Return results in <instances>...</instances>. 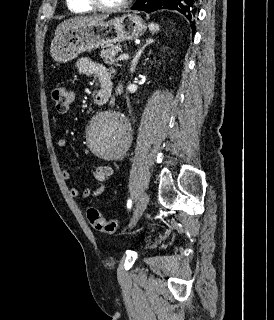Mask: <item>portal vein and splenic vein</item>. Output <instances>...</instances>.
I'll return each instance as SVG.
<instances>
[{
    "label": "portal vein and splenic vein",
    "mask_w": 274,
    "mask_h": 320,
    "mask_svg": "<svg viewBox=\"0 0 274 320\" xmlns=\"http://www.w3.org/2000/svg\"><path fill=\"white\" fill-rule=\"evenodd\" d=\"M128 54H123V56H119L118 60H128Z\"/></svg>",
    "instance_id": "1"
}]
</instances>
